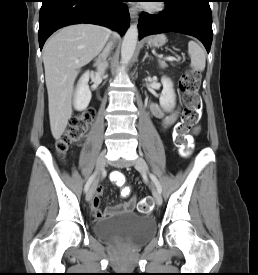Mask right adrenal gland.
<instances>
[{
    "mask_svg": "<svg viewBox=\"0 0 258 275\" xmlns=\"http://www.w3.org/2000/svg\"><path fill=\"white\" fill-rule=\"evenodd\" d=\"M99 59H100V56H99L98 58H96V59H95V64H94V66H96V65H97V63H98Z\"/></svg>",
    "mask_w": 258,
    "mask_h": 275,
    "instance_id": "2a0ac1e0",
    "label": "right adrenal gland"
}]
</instances>
